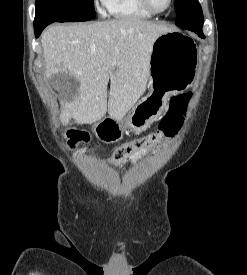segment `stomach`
Listing matches in <instances>:
<instances>
[{
	"label": "stomach",
	"instance_id": "obj_1",
	"mask_svg": "<svg viewBox=\"0 0 247 275\" xmlns=\"http://www.w3.org/2000/svg\"><path fill=\"white\" fill-rule=\"evenodd\" d=\"M197 72L196 48L192 39L169 31L153 43L149 61V93L143 97L122 122L106 119L95 124L96 136L106 143L122 138L123 129L134 132L147 129L163 113L172 94L188 89Z\"/></svg>",
	"mask_w": 247,
	"mask_h": 275
}]
</instances>
